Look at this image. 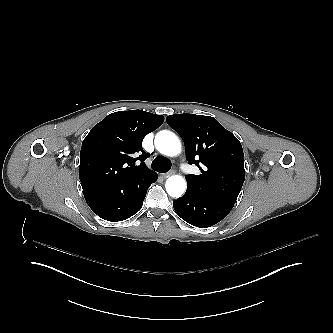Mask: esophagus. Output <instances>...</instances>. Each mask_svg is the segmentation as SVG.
<instances>
[{
    "label": "esophagus",
    "mask_w": 333,
    "mask_h": 333,
    "mask_svg": "<svg viewBox=\"0 0 333 333\" xmlns=\"http://www.w3.org/2000/svg\"><path fill=\"white\" fill-rule=\"evenodd\" d=\"M174 172H175V167H173L172 170H171L170 172L163 174V177H164V178H167V177H169L170 175H172Z\"/></svg>",
    "instance_id": "esophagus-1"
}]
</instances>
